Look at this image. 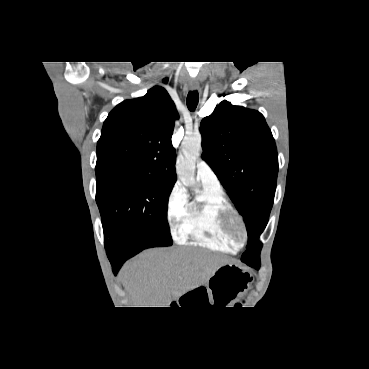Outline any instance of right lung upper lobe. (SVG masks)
<instances>
[{
  "label": "right lung upper lobe",
  "mask_w": 369,
  "mask_h": 369,
  "mask_svg": "<svg viewBox=\"0 0 369 369\" xmlns=\"http://www.w3.org/2000/svg\"><path fill=\"white\" fill-rule=\"evenodd\" d=\"M175 118L178 113L174 103L160 86L151 88L143 97L121 102L103 124L96 169L137 171L174 184L175 150L171 137Z\"/></svg>",
  "instance_id": "right-lung-upper-lobe-1"
}]
</instances>
